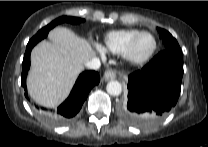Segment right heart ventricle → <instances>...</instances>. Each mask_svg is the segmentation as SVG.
Here are the masks:
<instances>
[{"mask_svg": "<svg viewBox=\"0 0 208 147\" xmlns=\"http://www.w3.org/2000/svg\"><path fill=\"white\" fill-rule=\"evenodd\" d=\"M139 32L141 31L132 28L110 31L104 36L105 49L114 54H122L130 40Z\"/></svg>", "mask_w": 208, "mask_h": 147, "instance_id": "right-heart-ventricle-1", "label": "right heart ventricle"}]
</instances>
